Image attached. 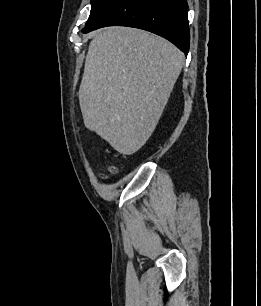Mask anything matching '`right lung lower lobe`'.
<instances>
[{
	"mask_svg": "<svg viewBox=\"0 0 261 306\" xmlns=\"http://www.w3.org/2000/svg\"><path fill=\"white\" fill-rule=\"evenodd\" d=\"M188 4L186 0H113L82 30L128 26L150 31L189 51Z\"/></svg>",
	"mask_w": 261,
	"mask_h": 306,
	"instance_id": "right-lung-lower-lobe-1",
	"label": "right lung lower lobe"
}]
</instances>
